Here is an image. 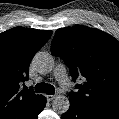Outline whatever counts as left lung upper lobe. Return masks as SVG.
<instances>
[{
    "label": "left lung upper lobe",
    "mask_w": 119,
    "mask_h": 119,
    "mask_svg": "<svg viewBox=\"0 0 119 119\" xmlns=\"http://www.w3.org/2000/svg\"><path fill=\"white\" fill-rule=\"evenodd\" d=\"M51 52L64 60L75 81L70 101L101 115L119 119V42L109 34L83 25L58 29Z\"/></svg>",
    "instance_id": "left-lung-upper-lobe-1"
}]
</instances>
